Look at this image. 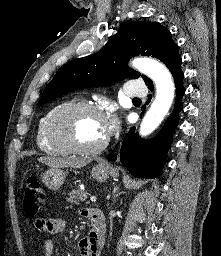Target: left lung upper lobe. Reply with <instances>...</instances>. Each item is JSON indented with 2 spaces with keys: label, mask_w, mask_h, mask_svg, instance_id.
Wrapping results in <instances>:
<instances>
[{
  "label": "left lung upper lobe",
  "mask_w": 221,
  "mask_h": 256,
  "mask_svg": "<svg viewBox=\"0 0 221 256\" xmlns=\"http://www.w3.org/2000/svg\"><path fill=\"white\" fill-rule=\"evenodd\" d=\"M152 56L163 62L173 74L181 69L182 59L171 33L158 22L124 23L101 51L75 59L62 66L46 86L38 105L85 87H104L141 74L127 66L133 56ZM146 85L152 81L142 75Z\"/></svg>",
  "instance_id": "obj_1"
}]
</instances>
